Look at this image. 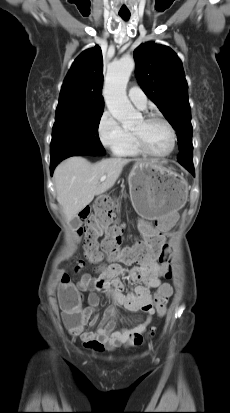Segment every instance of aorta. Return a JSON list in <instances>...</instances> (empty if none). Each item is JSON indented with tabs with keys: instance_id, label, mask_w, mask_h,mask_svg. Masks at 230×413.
I'll return each instance as SVG.
<instances>
[{
	"instance_id": "obj_1",
	"label": "aorta",
	"mask_w": 230,
	"mask_h": 413,
	"mask_svg": "<svg viewBox=\"0 0 230 413\" xmlns=\"http://www.w3.org/2000/svg\"><path fill=\"white\" fill-rule=\"evenodd\" d=\"M134 67L131 57H123L112 63L107 71L103 91L109 112L124 127L133 125L141 118V114L134 109L126 95V86Z\"/></svg>"
}]
</instances>
